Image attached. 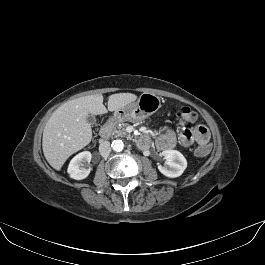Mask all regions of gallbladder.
<instances>
[{
    "mask_svg": "<svg viewBox=\"0 0 265 265\" xmlns=\"http://www.w3.org/2000/svg\"><path fill=\"white\" fill-rule=\"evenodd\" d=\"M86 121L90 125H94L96 123V118L92 114H88V116L86 117Z\"/></svg>",
    "mask_w": 265,
    "mask_h": 265,
    "instance_id": "bac80fb5",
    "label": "gallbladder"
}]
</instances>
